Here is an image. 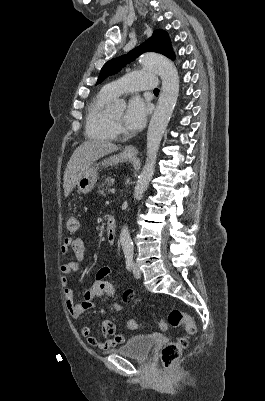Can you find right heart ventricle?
<instances>
[{
  "mask_svg": "<svg viewBox=\"0 0 265 401\" xmlns=\"http://www.w3.org/2000/svg\"><path fill=\"white\" fill-rule=\"evenodd\" d=\"M115 96L107 91L106 86L100 89L89 101L86 109L85 129L90 138L113 140L117 132L112 127L109 105Z\"/></svg>",
  "mask_w": 265,
  "mask_h": 401,
  "instance_id": "e07e8e85",
  "label": "right heart ventricle"
}]
</instances>
